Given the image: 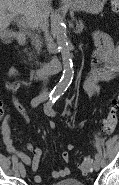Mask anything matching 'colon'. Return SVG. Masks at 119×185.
Listing matches in <instances>:
<instances>
[{"mask_svg": "<svg viewBox=\"0 0 119 185\" xmlns=\"http://www.w3.org/2000/svg\"><path fill=\"white\" fill-rule=\"evenodd\" d=\"M111 10L114 15L119 14V0H112ZM117 110H118L117 101L113 99L109 105L108 113L102 125V131L107 136L111 135L117 126L118 122ZM80 170L82 173H89L92 170V159L85 158L80 164Z\"/></svg>", "mask_w": 119, "mask_h": 185, "instance_id": "5ec220e1", "label": "colon"}]
</instances>
